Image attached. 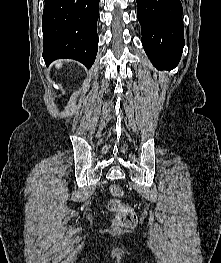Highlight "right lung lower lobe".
<instances>
[{
  "instance_id": "1",
  "label": "right lung lower lobe",
  "mask_w": 221,
  "mask_h": 263,
  "mask_svg": "<svg viewBox=\"0 0 221 263\" xmlns=\"http://www.w3.org/2000/svg\"><path fill=\"white\" fill-rule=\"evenodd\" d=\"M43 58L49 65L60 58L75 59L90 68L98 50L100 0H44Z\"/></svg>"
}]
</instances>
